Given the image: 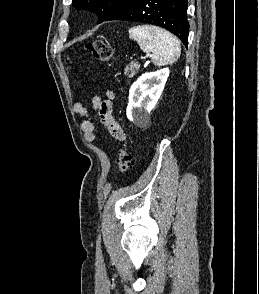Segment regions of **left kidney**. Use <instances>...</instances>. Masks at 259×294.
<instances>
[{"label": "left kidney", "mask_w": 259, "mask_h": 294, "mask_svg": "<svg viewBox=\"0 0 259 294\" xmlns=\"http://www.w3.org/2000/svg\"><path fill=\"white\" fill-rule=\"evenodd\" d=\"M169 73L168 68L145 73L132 84L126 109L130 121L141 125L148 118L163 92Z\"/></svg>", "instance_id": "obj_1"}]
</instances>
